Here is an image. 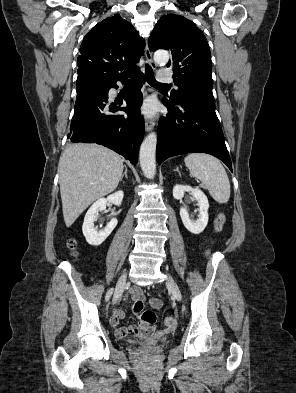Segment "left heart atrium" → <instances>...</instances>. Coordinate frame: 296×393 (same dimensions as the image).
<instances>
[{
    "instance_id": "left-heart-atrium-1",
    "label": "left heart atrium",
    "mask_w": 296,
    "mask_h": 393,
    "mask_svg": "<svg viewBox=\"0 0 296 393\" xmlns=\"http://www.w3.org/2000/svg\"><path fill=\"white\" fill-rule=\"evenodd\" d=\"M156 111H157V105L154 100H148L142 106V112L147 116H153L156 113Z\"/></svg>"
}]
</instances>
